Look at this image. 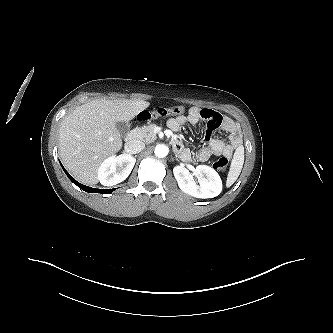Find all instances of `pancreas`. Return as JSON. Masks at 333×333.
I'll return each mask as SVG.
<instances>
[{"mask_svg": "<svg viewBox=\"0 0 333 333\" xmlns=\"http://www.w3.org/2000/svg\"><path fill=\"white\" fill-rule=\"evenodd\" d=\"M154 129V124H150L141 128H136V138L144 140L147 143L153 142L157 138Z\"/></svg>", "mask_w": 333, "mask_h": 333, "instance_id": "cf45deb5", "label": "pancreas"}]
</instances>
